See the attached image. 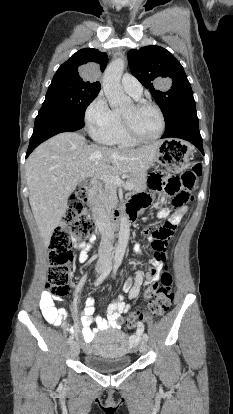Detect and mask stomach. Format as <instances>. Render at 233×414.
Here are the masks:
<instances>
[{"instance_id": "0dacf381", "label": "stomach", "mask_w": 233, "mask_h": 414, "mask_svg": "<svg viewBox=\"0 0 233 414\" xmlns=\"http://www.w3.org/2000/svg\"><path fill=\"white\" fill-rule=\"evenodd\" d=\"M190 147L178 139H164L158 142L155 161L168 170L179 173L190 162Z\"/></svg>"}]
</instances>
